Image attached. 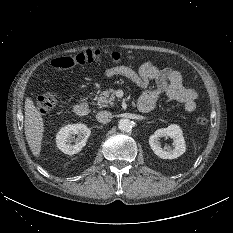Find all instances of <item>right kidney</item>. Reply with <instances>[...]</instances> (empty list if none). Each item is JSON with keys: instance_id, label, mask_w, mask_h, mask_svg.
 I'll return each instance as SVG.
<instances>
[{"instance_id": "1", "label": "right kidney", "mask_w": 233, "mask_h": 233, "mask_svg": "<svg viewBox=\"0 0 233 233\" xmlns=\"http://www.w3.org/2000/svg\"><path fill=\"white\" fill-rule=\"evenodd\" d=\"M91 131L85 124H69L60 129L56 135L57 147L65 154L73 155L86 145ZM73 135H77L74 139ZM75 140V144H72Z\"/></svg>"}]
</instances>
